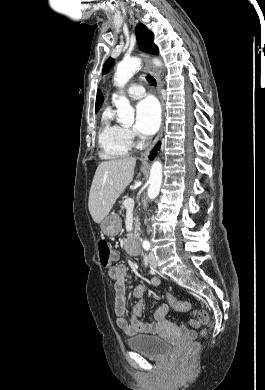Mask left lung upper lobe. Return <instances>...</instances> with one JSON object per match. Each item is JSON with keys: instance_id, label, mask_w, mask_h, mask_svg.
<instances>
[{"instance_id": "obj_1", "label": "left lung upper lobe", "mask_w": 265, "mask_h": 390, "mask_svg": "<svg viewBox=\"0 0 265 390\" xmlns=\"http://www.w3.org/2000/svg\"><path fill=\"white\" fill-rule=\"evenodd\" d=\"M135 33L138 45L142 51L152 54L159 53L157 46L153 43L154 34L149 31L145 25L139 23L135 28ZM113 62L112 58L107 59L103 68V73H106L107 70L112 67Z\"/></svg>"}]
</instances>
